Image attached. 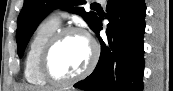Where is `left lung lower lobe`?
Instances as JSON below:
<instances>
[{
    "label": "left lung lower lobe",
    "instance_id": "0a47b994",
    "mask_svg": "<svg viewBox=\"0 0 173 91\" xmlns=\"http://www.w3.org/2000/svg\"><path fill=\"white\" fill-rule=\"evenodd\" d=\"M106 34L94 72L74 87L87 91H142L146 6L144 0H108ZM98 18L93 29L99 36Z\"/></svg>",
    "mask_w": 173,
    "mask_h": 91
}]
</instances>
